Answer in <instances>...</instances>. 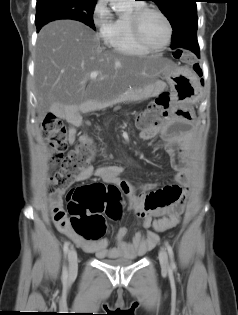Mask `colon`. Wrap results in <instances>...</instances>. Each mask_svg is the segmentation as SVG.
<instances>
[{"label":"colon","instance_id":"colon-1","mask_svg":"<svg viewBox=\"0 0 238 315\" xmlns=\"http://www.w3.org/2000/svg\"><path fill=\"white\" fill-rule=\"evenodd\" d=\"M174 56L191 65L194 72L199 77L202 76V67L192 53L177 50ZM169 102L170 97L167 93L159 95L148 109L138 116V128L141 130L155 128L167 115ZM43 136L50 144L52 166H60L50 178L48 186L50 193H56L71 186L75 177L90 164L94 156V148L89 139H82L66 154L67 128L53 114H48L43 121ZM68 200L71 226L78 235L88 241L98 240L104 234V215L113 220L121 217V190L114 184L93 183L79 186L71 190ZM173 225L174 221L170 217L159 218L154 222V228L158 231H165Z\"/></svg>","mask_w":238,"mask_h":315}]
</instances>
